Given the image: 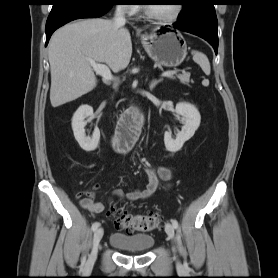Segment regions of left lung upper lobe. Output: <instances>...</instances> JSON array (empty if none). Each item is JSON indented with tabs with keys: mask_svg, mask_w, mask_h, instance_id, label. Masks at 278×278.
Returning a JSON list of instances; mask_svg holds the SVG:
<instances>
[{
	"mask_svg": "<svg viewBox=\"0 0 278 278\" xmlns=\"http://www.w3.org/2000/svg\"><path fill=\"white\" fill-rule=\"evenodd\" d=\"M183 10L179 14L180 17H186L188 14L198 10L207 9L215 14V0H180Z\"/></svg>",
	"mask_w": 278,
	"mask_h": 278,
	"instance_id": "left-lung-upper-lobe-1",
	"label": "left lung upper lobe"
}]
</instances>
